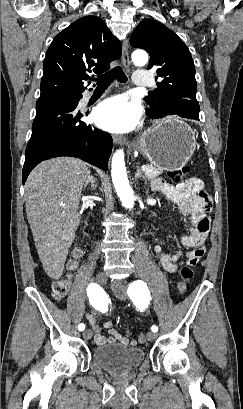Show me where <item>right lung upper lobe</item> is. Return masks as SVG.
<instances>
[{
	"instance_id": "cb5924a9",
	"label": "right lung upper lobe",
	"mask_w": 243,
	"mask_h": 409,
	"mask_svg": "<svg viewBox=\"0 0 243 409\" xmlns=\"http://www.w3.org/2000/svg\"><path fill=\"white\" fill-rule=\"evenodd\" d=\"M121 53L120 41L101 18L76 20L56 35L47 50L38 100L81 95L88 74L104 73Z\"/></svg>"
}]
</instances>
